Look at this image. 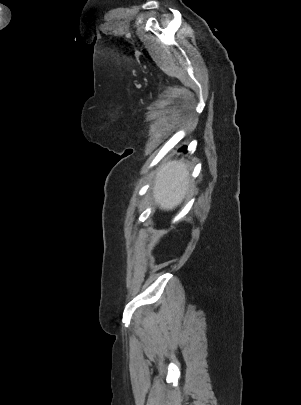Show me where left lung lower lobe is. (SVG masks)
<instances>
[{
    "mask_svg": "<svg viewBox=\"0 0 301 405\" xmlns=\"http://www.w3.org/2000/svg\"><path fill=\"white\" fill-rule=\"evenodd\" d=\"M180 151L186 152L187 151V146H184L183 148H181Z\"/></svg>",
    "mask_w": 301,
    "mask_h": 405,
    "instance_id": "left-lung-lower-lobe-1",
    "label": "left lung lower lobe"
}]
</instances>
